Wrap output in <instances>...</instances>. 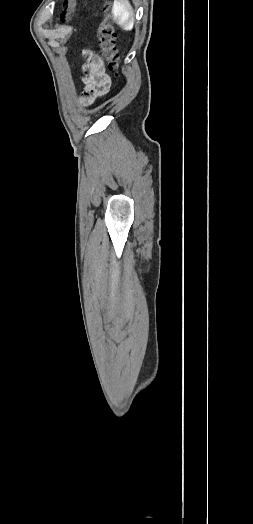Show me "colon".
Masks as SVG:
<instances>
[{"label":"colon","mask_w":253,"mask_h":524,"mask_svg":"<svg viewBox=\"0 0 253 524\" xmlns=\"http://www.w3.org/2000/svg\"><path fill=\"white\" fill-rule=\"evenodd\" d=\"M77 6V0H65L64 10L61 13V21L67 22L73 15ZM99 51L108 67L117 72L120 65V57L116 47V30L113 20L105 15L98 28Z\"/></svg>","instance_id":"obj_1"}]
</instances>
